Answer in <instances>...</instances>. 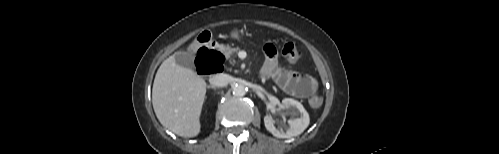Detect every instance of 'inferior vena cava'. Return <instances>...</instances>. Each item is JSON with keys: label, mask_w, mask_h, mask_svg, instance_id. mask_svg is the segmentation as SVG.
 <instances>
[{"label": "inferior vena cava", "mask_w": 499, "mask_h": 154, "mask_svg": "<svg viewBox=\"0 0 499 154\" xmlns=\"http://www.w3.org/2000/svg\"><path fill=\"white\" fill-rule=\"evenodd\" d=\"M231 81V77L227 74H215L212 75L209 79V82L212 86L224 87L228 85Z\"/></svg>", "instance_id": "1"}]
</instances>
